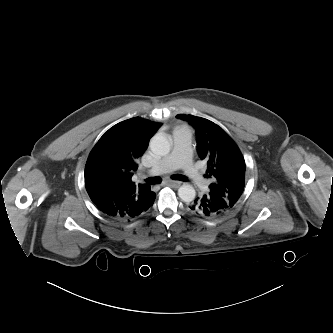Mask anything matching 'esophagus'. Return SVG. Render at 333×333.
Instances as JSON below:
<instances>
[{
	"label": "esophagus",
	"instance_id": "esophagus-1",
	"mask_svg": "<svg viewBox=\"0 0 333 333\" xmlns=\"http://www.w3.org/2000/svg\"><path fill=\"white\" fill-rule=\"evenodd\" d=\"M163 184L166 186L173 187V188H178L181 185V183L179 181H172V180H166V181H164Z\"/></svg>",
	"mask_w": 333,
	"mask_h": 333
}]
</instances>
